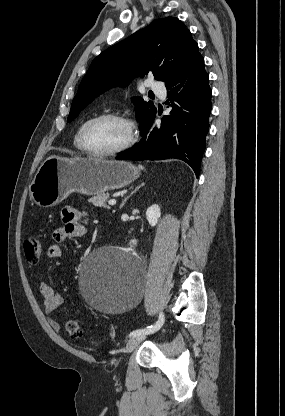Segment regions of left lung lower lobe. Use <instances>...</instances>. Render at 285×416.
<instances>
[{
    "label": "left lung lower lobe",
    "instance_id": "0a47b994",
    "mask_svg": "<svg viewBox=\"0 0 285 416\" xmlns=\"http://www.w3.org/2000/svg\"><path fill=\"white\" fill-rule=\"evenodd\" d=\"M202 56L195 59L174 82L166 85L172 110L153 126L154 118L141 129L144 136L134 147L116 157L120 160L185 161L199 176L200 160L209 130L212 90ZM181 82L180 85H177ZM176 103H175V102Z\"/></svg>",
    "mask_w": 285,
    "mask_h": 416
}]
</instances>
